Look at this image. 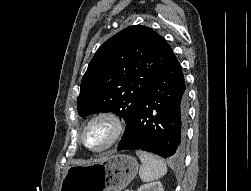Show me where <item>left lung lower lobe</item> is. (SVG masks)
<instances>
[{
    "mask_svg": "<svg viewBox=\"0 0 251 191\" xmlns=\"http://www.w3.org/2000/svg\"><path fill=\"white\" fill-rule=\"evenodd\" d=\"M185 90L182 68L172 52L151 83L117 150L141 149L164 158L181 156L187 114Z\"/></svg>",
    "mask_w": 251,
    "mask_h": 191,
    "instance_id": "obj_1",
    "label": "left lung lower lobe"
}]
</instances>
